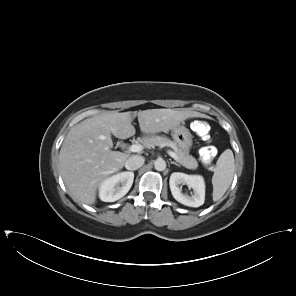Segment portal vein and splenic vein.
Wrapping results in <instances>:
<instances>
[{"label": "portal vein and splenic vein", "instance_id": "obj_1", "mask_svg": "<svg viewBox=\"0 0 296 296\" xmlns=\"http://www.w3.org/2000/svg\"><path fill=\"white\" fill-rule=\"evenodd\" d=\"M143 149V146L140 144H132L129 147V151L130 152H140ZM168 154L174 159V160H178V156L173 152V151H168Z\"/></svg>", "mask_w": 296, "mask_h": 296}]
</instances>
